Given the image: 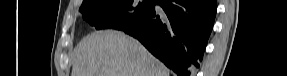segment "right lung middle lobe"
<instances>
[{"label":"right lung middle lobe","mask_w":287,"mask_h":76,"mask_svg":"<svg viewBox=\"0 0 287 76\" xmlns=\"http://www.w3.org/2000/svg\"><path fill=\"white\" fill-rule=\"evenodd\" d=\"M153 6L154 0H88L79 11L97 30H123L144 19Z\"/></svg>","instance_id":"obj_1"}]
</instances>
